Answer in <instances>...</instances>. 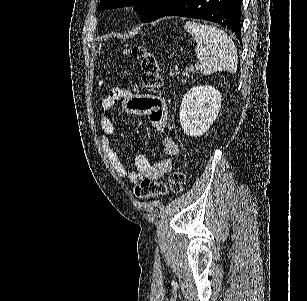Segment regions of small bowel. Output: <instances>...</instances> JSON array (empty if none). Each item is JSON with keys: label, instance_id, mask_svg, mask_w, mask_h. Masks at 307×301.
<instances>
[{"label": "small bowel", "instance_id": "1", "mask_svg": "<svg viewBox=\"0 0 307 301\" xmlns=\"http://www.w3.org/2000/svg\"><path fill=\"white\" fill-rule=\"evenodd\" d=\"M121 102L129 113L135 115H147L152 126L161 133H164L168 121V109L165 101L158 96L141 94L134 87L133 89L113 88L109 95L103 99L101 108L103 111L112 110L115 105ZM101 146L106 153L112 167L121 177L136 183L142 179H159L173 168L172 157L176 156L179 147L172 137L164 136L162 149L165 157L152 164L146 154H138L135 158V168L128 169L120 160L117 151L111 145V139L115 133V125L108 117L100 120Z\"/></svg>", "mask_w": 307, "mask_h": 301}]
</instances>
